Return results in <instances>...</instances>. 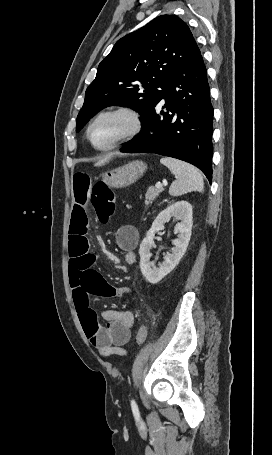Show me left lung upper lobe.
<instances>
[{"instance_id":"obj_1","label":"left lung upper lobe","mask_w":272,"mask_h":455,"mask_svg":"<svg viewBox=\"0 0 272 455\" xmlns=\"http://www.w3.org/2000/svg\"><path fill=\"white\" fill-rule=\"evenodd\" d=\"M199 55L189 27L175 15L156 17L119 39L86 90L76 132L111 105L134 109L143 122L161 100L171 75Z\"/></svg>"}]
</instances>
